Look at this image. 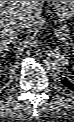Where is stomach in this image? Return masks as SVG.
<instances>
[{
  "mask_svg": "<svg viewBox=\"0 0 74 122\" xmlns=\"http://www.w3.org/2000/svg\"><path fill=\"white\" fill-rule=\"evenodd\" d=\"M56 12L61 17H70L74 12V1H52Z\"/></svg>",
  "mask_w": 74,
  "mask_h": 122,
  "instance_id": "stomach-1",
  "label": "stomach"
}]
</instances>
